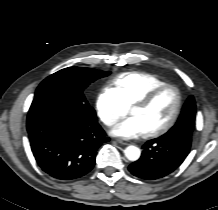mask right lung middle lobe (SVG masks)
I'll return each mask as SVG.
<instances>
[{
	"label": "right lung middle lobe",
	"mask_w": 218,
	"mask_h": 210,
	"mask_svg": "<svg viewBox=\"0 0 218 210\" xmlns=\"http://www.w3.org/2000/svg\"><path fill=\"white\" fill-rule=\"evenodd\" d=\"M109 74L110 72L93 68L69 67L62 69L41 82L35 92L34 100L50 98L89 107L83 90L91 82Z\"/></svg>",
	"instance_id": "dd1d6c3e"
}]
</instances>
